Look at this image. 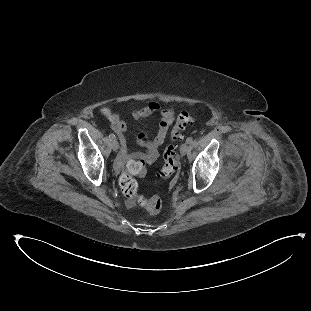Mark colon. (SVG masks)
Returning a JSON list of instances; mask_svg holds the SVG:
<instances>
[{
	"instance_id": "obj_1",
	"label": "colon",
	"mask_w": 311,
	"mask_h": 311,
	"mask_svg": "<svg viewBox=\"0 0 311 311\" xmlns=\"http://www.w3.org/2000/svg\"><path fill=\"white\" fill-rule=\"evenodd\" d=\"M194 116L186 111L178 114L175 123L170 132L169 140L163 152V163L159 169V177L162 179L170 178L178 172L179 162L177 159V144L182 136V130L187 126L193 125ZM146 161L142 157L132 160L131 164L123 171L120 178V187L124 196L136 201L148 213L157 214L162 210L163 203L159 196L140 197L138 196V182L135 179L136 174L143 175L146 172Z\"/></svg>"
}]
</instances>
